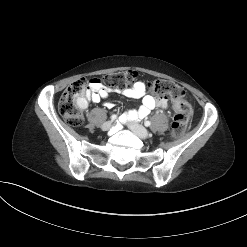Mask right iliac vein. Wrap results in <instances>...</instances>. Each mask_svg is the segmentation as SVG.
Instances as JSON below:
<instances>
[{
    "label": "right iliac vein",
    "mask_w": 247,
    "mask_h": 247,
    "mask_svg": "<svg viewBox=\"0 0 247 247\" xmlns=\"http://www.w3.org/2000/svg\"><path fill=\"white\" fill-rule=\"evenodd\" d=\"M112 125H113L112 121H107L102 125L101 128H102L103 131H107L112 127Z\"/></svg>",
    "instance_id": "obj_1"
}]
</instances>
